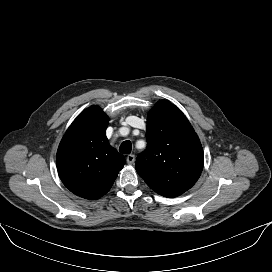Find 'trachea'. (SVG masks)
<instances>
[{"mask_svg": "<svg viewBox=\"0 0 272 272\" xmlns=\"http://www.w3.org/2000/svg\"><path fill=\"white\" fill-rule=\"evenodd\" d=\"M131 149H132V144L130 141H124L120 147H119V151L123 154H130L131 153Z\"/></svg>", "mask_w": 272, "mask_h": 272, "instance_id": "obj_1", "label": "trachea"}]
</instances>
